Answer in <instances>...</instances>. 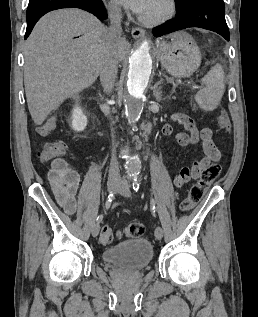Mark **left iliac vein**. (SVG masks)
Wrapping results in <instances>:
<instances>
[{
	"instance_id": "4c4485c4",
	"label": "left iliac vein",
	"mask_w": 258,
	"mask_h": 317,
	"mask_svg": "<svg viewBox=\"0 0 258 317\" xmlns=\"http://www.w3.org/2000/svg\"><path fill=\"white\" fill-rule=\"evenodd\" d=\"M119 183L120 184H118V186H117V194L118 195H124L125 197L126 196H131V199H132V194L130 193V184H128L125 180H124V178H119ZM155 232V235H156V240L157 241H162L163 240V235H162V228H161V226H156V228H155V230H154Z\"/></svg>"
}]
</instances>
